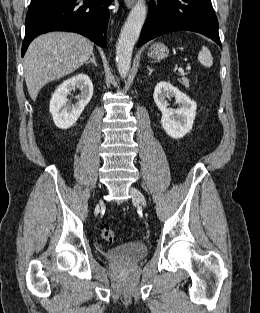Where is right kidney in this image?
Returning a JSON list of instances; mask_svg holds the SVG:
<instances>
[{
    "label": "right kidney",
    "instance_id": "1",
    "mask_svg": "<svg viewBox=\"0 0 260 313\" xmlns=\"http://www.w3.org/2000/svg\"><path fill=\"white\" fill-rule=\"evenodd\" d=\"M79 90L78 102L71 105L67 98L72 90ZM93 95V84L85 74H78L64 81L53 93L50 100V113L55 125L60 129L71 127L80 117Z\"/></svg>",
    "mask_w": 260,
    "mask_h": 313
}]
</instances>
